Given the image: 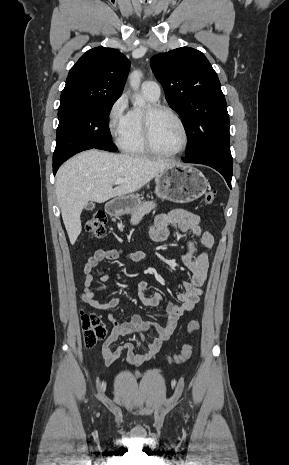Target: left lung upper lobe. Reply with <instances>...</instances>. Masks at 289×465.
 I'll use <instances>...</instances> for the list:
<instances>
[{
    "instance_id": "obj_1",
    "label": "left lung upper lobe",
    "mask_w": 289,
    "mask_h": 465,
    "mask_svg": "<svg viewBox=\"0 0 289 465\" xmlns=\"http://www.w3.org/2000/svg\"><path fill=\"white\" fill-rule=\"evenodd\" d=\"M150 63L164 88L167 102L185 124L186 157L218 155L232 159L226 100L218 76L205 55L182 47L155 55Z\"/></svg>"
}]
</instances>
